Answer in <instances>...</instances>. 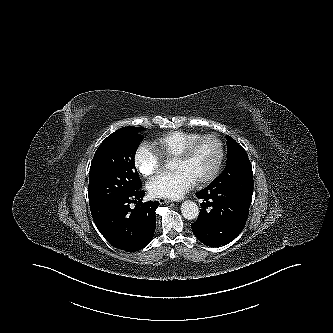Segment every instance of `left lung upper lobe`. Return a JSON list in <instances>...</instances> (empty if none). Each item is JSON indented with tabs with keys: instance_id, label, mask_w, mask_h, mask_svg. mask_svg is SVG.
<instances>
[{
	"instance_id": "5c2ea615",
	"label": "left lung upper lobe",
	"mask_w": 333,
	"mask_h": 333,
	"mask_svg": "<svg viewBox=\"0 0 333 333\" xmlns=\"http://www.w3.org/2000/svg\"><path fill=\"white\" fill-rule=\"evenodd\" d=\"M227 139L226 167L214 181L226 180L235 192L252 197L253 174L252 165L244 148L232 137Z\"/></svg>"
}]
</instances>
